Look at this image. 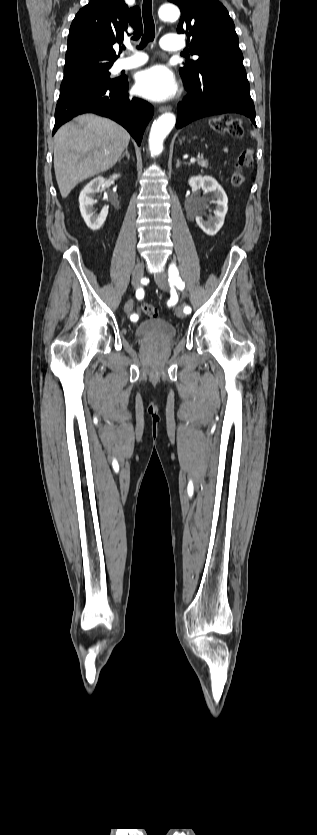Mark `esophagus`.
Instances as JSON below:
<instances>
[{
  "label": "esophagus",
  "instance_id": "obj_1",
  "mask_svg": "<svg viewBox=\"0 0 317 835\" xmlns=\"http://www.w3.org/2000/svg\"><path fill=\"white\" fill-rule=\"evenodd\" d=\"M158 110H159V112H166V111H170L171 107L170 106H160Z\"/></svg>",
  "mask_w": 317,
  "mask_h": 835
}]
</instances>
